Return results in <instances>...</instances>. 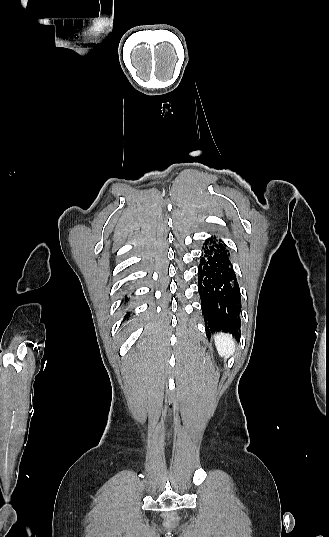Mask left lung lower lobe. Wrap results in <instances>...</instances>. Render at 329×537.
I'll return each instance as SVG.
<instances>
[{
	"label": "left lung lower lobe",
	"mask_w": 329,
	"mask_h": 537,
	"mask_svg": "<svg viewBox=\"0 0 329 537\" xmlns=\"http://www.w3.org/2000/svg\"><path fill=\"white\" fill-rule=\"evenodd\" d=\"M229 256L226 246L211 236L199 260L198 292L208 337L217 331L237 339L241 335L240 288Z\"/></svg>",
	"instance_id": "left-lung-lower-lobe-1"
}]
</instances>
